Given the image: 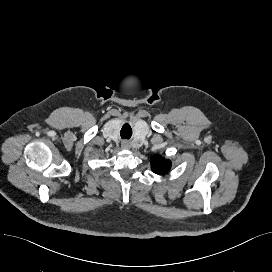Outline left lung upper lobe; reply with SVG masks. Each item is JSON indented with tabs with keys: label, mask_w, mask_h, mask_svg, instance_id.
I'll return each mask as SVG.
<instances>
[{
	"label": "left lung upper lobe",
	"mask_w": 272,
	"mask_h": 272,
	"mask_svg": "<svg viewBox=\"0 0 272 272\" xmlns=\"http://www.w3.org/2000/svg\"><path fill=\"white\" fill-rule=\"evenodd\" d=\"M151 168L154 173L164 175L170 170L171 162L160 155H155L151 158Z\"/></svg>",
	"instance_id": "5c2ea615"
}]
</instances>
